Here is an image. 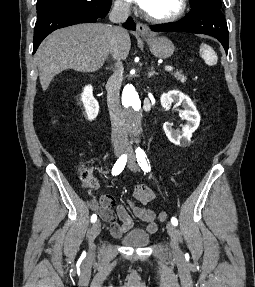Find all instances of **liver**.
Listing matches in <instances>:
<instances>
[{"mask_svg": "<svg viewBox=\"0 0 255 287\" xmlns=\"http://www.w3.org/2000/svg\"><path fill=\"white\" fill-rule=\"evenodd\" d=\"M110 26L106 24H78L56 30L46 38L35 54L42 90L63 70L96 72L109 54ZM121 60H126L131 40L126 30L119 42Z\"/></svg>", "mask_w": 255, "mask_h": 287, "instance_id": "6515ba94", "label": "liver"}]
</instances>
